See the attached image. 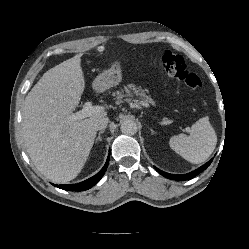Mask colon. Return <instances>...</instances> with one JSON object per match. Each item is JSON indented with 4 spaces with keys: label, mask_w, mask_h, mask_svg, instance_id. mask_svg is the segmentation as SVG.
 <instances>
[{
    "label": "colon",
    "mask_w": 249,
    "mask_h": 249,
    "mask_svg": "<svg viewBox=\"0 0 249 249\" xmlns=\"http://www.w3.org/2000/svg\"><path fill=\"white\" fill-rule=\"evenodd\" d=\"M161 64L167 75L184 82L190 88H199L202 85L200 77L190 71L182 56L170 51H164L160 56Z\"/></svg>",
    "instance_id": "obj_1"
}]
</instances>
